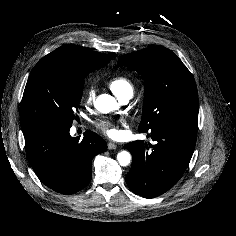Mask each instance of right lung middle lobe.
I'll list each match as a JSON object with an SVG mask.
<instances>
[{"instance_id":"obj_1","label":"right lung middle lobe","mask_w":236,"mask_h":236,"mask_svg":"<svg viewBox=\"0 0 236 236\" xmlns=\"http://www.w3.org/2000/svg\"><path fill=\"white\" fill-rule=\"evenodd\" d=\"M91 71L59 73L31 72L21 104V128H70L82 98L83 80Z\"/></svg>"}]
</instances>
